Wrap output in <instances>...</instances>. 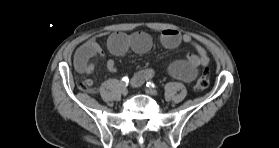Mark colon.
<instances>
[{"mask_svg":"<svg viewBox=\"0 0 279 148\" xmlns=\"http://www.w3.org/2000/svg\"><path fill=\"white\" fill-rule=\"evenodd\" d=\"M77 85L81 90L84 91H91L92 82L88 79H85L83 77L77 78ZM209 86V71L207 68H204L198 78L196 79L194 88L196 91H203L207 89Z\"/></svg>","mask_w":279,"mask_h":148,"instance_id":"1","label":"colon"}]
</instances>
